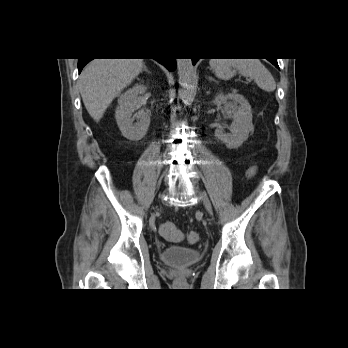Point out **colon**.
Returning <instances> with one entry per match:
<instances>
[{"mask_svg": "<svg viewBox=\"0 0 348 348\" xmlns=\"http://www.w3.org/2000/svg\"><path fill=\"white\" fill-rule=\"evenodd\" d=\"M250 175L255 173V169L250 170ZM160 235L168 241H180L184 238V234L172 222H163L159 227ZM186 239L190 244H196L199 240V235L196 231H189L186 234Z\"/></svg>", "mask_w": 348, "mask_h": 348, "instance_id": "obj_1", "label": "colon"}]
</instances>
